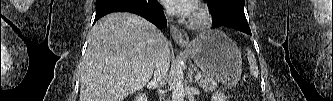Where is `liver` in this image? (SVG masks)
<instances>
[{
  "label": "liver",
  "instance_id": "6515ba94",
  "mask_svg": "<svg viewBox=\"0 0 333 101\" xmlns=\"http://www.w3.org/2000/svg\"><path fill=\"white\" fill-rule=\"evenodd\" d=\"M164 43L163 34L137 15L112 13L100 19L81 64L80 101H123L142 89Z\"/></svg>",
  "mask_w": 333,
  "mask_h": 101
}]
</instances>
